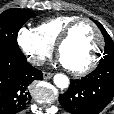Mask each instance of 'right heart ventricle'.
<instances>
[{"mask_svg": "<svg viewBox=\"0 0 114 114\" xmlns=\"http://www.w3.org/2000/svg\"><path fill=\"white\" fill-rule=\"evenodd\" d=\"M80 18L76 15H61L41 22L35 31L49 45L54 46L63 30L72 21Z\"/></svg>", "mask_w": 114, "mask_h": 114, "instance_id": "1", "label": "right heart ventricle"}]
</instances>
